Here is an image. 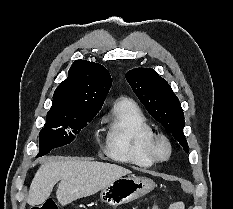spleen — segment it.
<instances>
[{
	"label": "spleen",
	"instance_id": "obj_1",
	"mask_svg": "<svg viewBox=\"0 0 233 209\" xmlns=\"http://www.w3.org/2000/svg\"><path fill=\"white\" fill-rule=\"evenodd\" d=\"M169 209H184V203L183 202H177L175 204H172Z\"/></svg>",
	"mask_w": 233,
	"mask_h": 209
}]
</instances>
